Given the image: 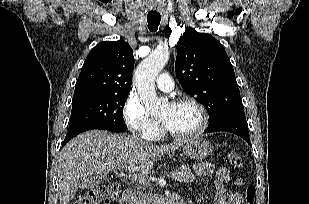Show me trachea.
<instances>
[{"mask_svg":"<svg viewBox=\"0 0 309 204\" xmlns=\"http://www.w3.org/2000/svg\"><path fill=\"white\" fill-rule=\"evenodd\" d=\"M160 20H161L160 15H148L147 16L148 27L151 32H155L158 29Z\"/></svg>","mask_w":309,"mask_h":204,"instance_id":"obj_1","label":"trachea"}]
</instances>
